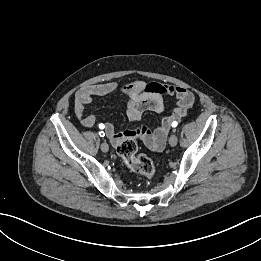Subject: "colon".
Here are the masks:
<instances>
[{
	"label": "colon",
	"instance_id": "1",
	"mask_svg": "<svg viewBox=\"0 0 261 261\" xmlns=\"http://www.w3.org/2000/svg\"><path fill=\"white\" fill-rule=\"evenodd\" d=\"M138 146L134 136L125 137L117 145V153L123 159L128 168L146 179H152L155 175V166L150 158L137 155Z\"/></svg>",
	"mask_w": 261,
	"mask_h": 261
}]
</instances>
